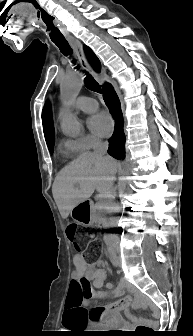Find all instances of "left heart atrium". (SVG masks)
Listing matches in <instances>:
<instances>
[{
  "label": "left heart atrium",
  "instance_id": "39dd6f15",
  "mask_svg": "<svg viewBox=\"0 0 193 336\" xmlns=\"http://www.w3.org/2000/svg\"><path fill=\"white\" fill-rule=\"evenodd\" d=\"M89 129L97 136L106 137L113 129V121L106 112H99L88 120Z\"/></svg>",
  "mask_w": 193,
  "mask_h": 336
}]
</instances>
